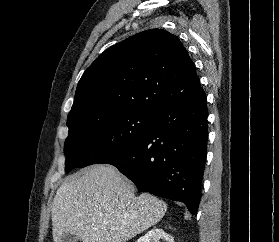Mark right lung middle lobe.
<instances>
[{"instance_id":"dd1d6c3e","label":"right lung middle lobe","mask_w":279,"mask_h":242,"mask_svg":"<svg viewBox=\"0 0 279 242\" xmlns=\"http://www.w3.org/2000/svg\"><path fill=\"white\" fill-rule=\"evenodd\" d=\"M155 112L122 109L97 117H76L67 122L65 170L101 163L150 133Z\"/></svg>"}]
</instances>
